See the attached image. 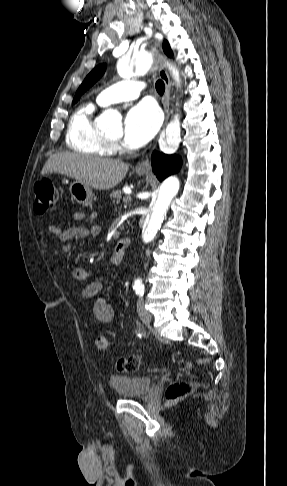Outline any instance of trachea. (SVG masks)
<instances>
[{
    "label": "trachea",
    "mask_w": 287,
    "mask_h": 486,
    "mask_svg": "<svg viewBox=\"0 0 287 486\" xmlns=\"http://www.w3.org/2000/svg\"><path fill=\"white\" fill-rule=\"evenodd\" d=\"M155 88H156L157 92L162 95L164 93V91H165V84H164V82L162 80H158L155 83Z\"/></svg>",
    "instance_id": "obj_1"
}]
</instances>
